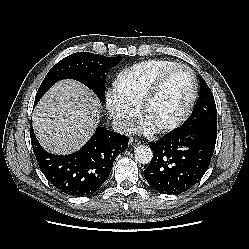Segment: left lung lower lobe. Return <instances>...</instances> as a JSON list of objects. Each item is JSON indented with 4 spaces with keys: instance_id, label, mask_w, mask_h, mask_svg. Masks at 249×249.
Segmentation results:
<instances>
[{
    "instance_id": "obj_1",
    "label": "left lung lower lobe",
    "mask_w": 249,
    "mask_h": 249,
    "mask_svg": "<svg viewBox=\"0 0 249 249\" xmlns=\"http://www.w3.org/2000/svg\"><path fill=\"white\" fill-rule=\"evenodd\" d=\"M217 128L198 126L174 130L149 143L153 158L144 177L156 190L180 194L195 185L209 167Z\"/></svg>"
}]
</instances>
